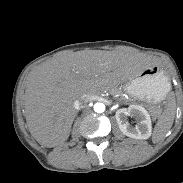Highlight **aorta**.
Listing matches in <instances>:
<instances>
[{"label": "aorta", "mask_w": 183, "mask_h": 183, "mask_svg": "<svg viewBox=\"0 0 183 183\" xmlns=\"http://www.w3.org/2000/svg\"><path fill=\"white\" fill-rule=\"evenodd\" d=\"M94 111L97 113H103L105 111V105L103 103H95Z\"/></svg>", "instance_id": "aorta-1"}]
</instances>
